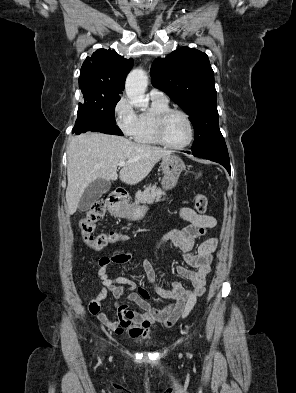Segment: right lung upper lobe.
<instances>
[{"mask_svg": "<svg viewBox=\"0 0 296 393\" xmlns=\"http://www.w3.org/2000/svg\"><path fill=\"white\" fill-rule=\"evenodd\" d=\"M133 64L113 50L98 49L82 65L79 88L84 97L119 96Z\"/></svg>", "mask_w": 296, "mask_h": 393, "instance_id": "right-lung-upper-lobe-1", "label": "right lung upper lobe"}]
</instances>
